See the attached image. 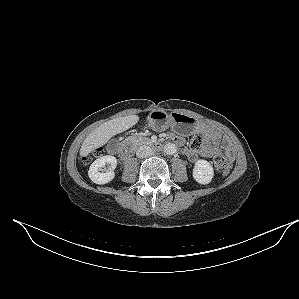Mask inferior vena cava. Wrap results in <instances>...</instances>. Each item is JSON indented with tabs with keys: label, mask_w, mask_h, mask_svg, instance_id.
<instances>
[{
	"label": "inferior vena cava",
	"mask_w": 299,
	"mask_h": 299,
	"mask_svg": "<svg viewBox=\"0 0 299 299\" xmlns=\"http://www.w3.org/2000/svg\"><path fill=\"white\" fill-rule=\"evenodd\" d=\"M153 153L151 147L147 146V145H142L140 146L137 151H136V155L138 158H146L151 156Z\"/></svg>",
	"instance_id": "inferior-vena-cava-1"
}]
</instances>
